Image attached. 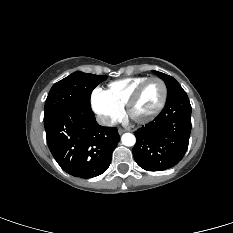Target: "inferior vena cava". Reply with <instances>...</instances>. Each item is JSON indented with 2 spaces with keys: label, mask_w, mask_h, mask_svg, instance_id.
<instances>
[{
  "label": "inferior vena cava",
  "mask_w": 233,
  "mask_h": 233,
  "mask_svg": "<svg viewBox=\"0 0 233 233\" xmlns=\"http://www.w3.org/2000/svg\"><path fill=\"white\" fill-rule=\"evenodd\" d=\"M96 120L100 125L103 126H113L115 124V121L108 116L99 115L97 116Z\"/></svg>",
  "instance_id": "1"
}]
</instances>
